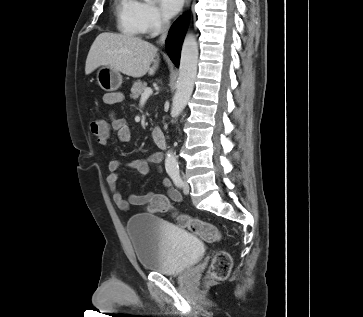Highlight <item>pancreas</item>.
Wrapping results in <instances>:
<instances>
[{
  "instance_id": "pancreas-1",
  "label": "pancreas",
  "mask_w": 363,
  "mask_h": 317,
  "mask_svg": "<svg viewBox=\"0 0 363 317\" xmlns=\"http://www.w3.org/2000/svg\"><path fill=\"white\" fill-rule=\"evenodd\" d=\"M146 88H147V83L141 81L134 82L131 88L130 97L134 100L138 99Z\"/></svg>"
}]
</instances>
